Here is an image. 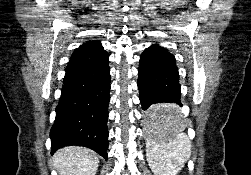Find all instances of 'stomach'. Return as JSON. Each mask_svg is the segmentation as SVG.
<instances>
[{
	"mask_svg": "<svg viewBox=\"0 0 251 175\" xmlns=\"http://www.w3.org/2000/svg\"><path fill=\"white\" fill-rule=\"evenodd\" d=\"M147 111H178V106H147ZM147 134H184V129H149L181 128L183 118H174V114H144ZM149 141H167V136H149Z\"/></svg>",
	"mask_w": 251,
	"mask_h": 175,
	"instance_id": "1",
	"label": "stomach"
}]
</instances>
